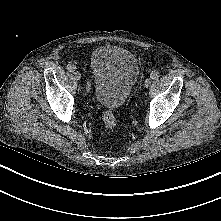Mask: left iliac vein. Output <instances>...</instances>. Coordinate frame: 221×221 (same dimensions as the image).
<instances>
[{
  "label": "left iliac vein",
  "instance_id": "left-iliac-vein-1",
  "mask_svg": "<svg viewBox=\"0 0 221 221\" xmlns=\"http://www.w3.org/2000/svg\"><path fill=\"white\" fill-rule=\"evenodd\" d=\"M151 82H152L151 78H147L144 82L145 87L148 88L151 85Z\"/></svg>",
  "mask_w": 221,
  "mask_h": 221
}]
</instances>
